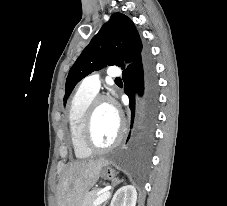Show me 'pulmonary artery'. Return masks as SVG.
<instances>
[{
  "instance_id": "pulmonary-artery-1",
  "label": "pulmonary artery",
  "mask_w": 227,
  "mask_h": 206,
  "mask_svg": "<svg viewBox=\"0 0 227 206\" xmlns=\"http://www.w3.org/2000/svg\"><path fill=\"white\" fill-rule=\"evenodd\" d=\"M107 75L110 78H118L121 76V70L118 67L112 66L108 69ZM80 89L96 94L100 89V77L98 74H92L83 79Z\"/></svg>"
}]
</instances>
